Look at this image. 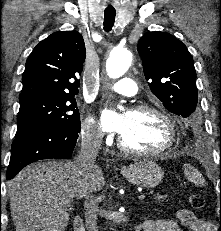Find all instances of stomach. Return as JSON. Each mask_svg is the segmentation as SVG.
<instances>
[{"instance_id":"obj_1","label":"stomach","mask_w":221,"mask_h":231,"mask_svg":"<svg viewBox=\"0 0 221 231\" xmlns=\"http://www.w3.org/2000/svg\"><path fill=\"white\" fill-rule=\"evenodd\" d=\"M122 175L132 184L154 188L163 179L161 167L151 160H142L121 168Z\"/></svg>"}]
</instances>
